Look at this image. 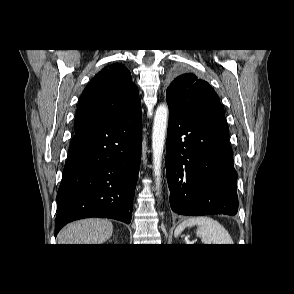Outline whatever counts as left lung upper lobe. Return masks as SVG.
<instances>
[{
  "label": "left lung upper lobe",
  "instance_id": "obj_1",
  "mask_svg": "<svg viewBox=\"0 0 294 294\" xmlns=\"http://www.w3.org/2000/svg\"><path fill=\"white\" fill-rule=\"evenodd\" d=\"M169 107L193 119H225V112L214 89L193 73H184L166 91Z\"/></svg>",
  "mask_w": 294,
  "mask_h": 294
}]
</instances>
